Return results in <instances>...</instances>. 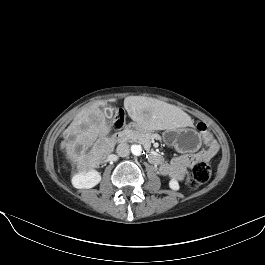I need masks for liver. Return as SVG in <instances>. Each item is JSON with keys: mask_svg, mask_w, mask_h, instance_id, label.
Listing matches in <instances>:
<instances>
[{"mask_svg": "<svg viewBox=\"0 0 265 265\" xmlns=\"http://www.w3.org/2000/svg\"><path fill=\"white\" fill-rule=\"evenodd\" d=\"M115 99L96 101L85 106L63 132L67 159L76 164L77 170L87 172L97 168L99 163L114 151L115 142L108 137L110 127L100 107ZM124 108L130 118L140 127L148 130H167L192 127L191 117L169 103L144 96H128ZM90 152L86 153L88 148ZM79 149H81L79 151Z\"/></svg>", "mask_w": 265, "mask_h": 265, "instance_id": "liver-1", "label": "liver"}]
</instances>
